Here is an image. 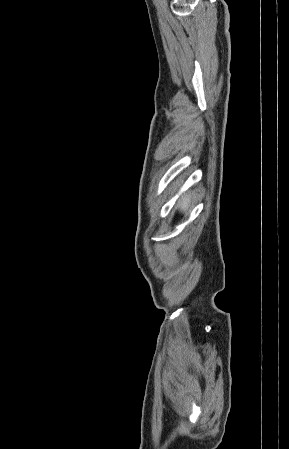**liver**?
Segmentation results:
<instances>
[{
    "label": "liver",
    "mask_w": 289,
    "mask_h": 449,
    "mask_svg": "<svg viewBox=\"0 0 289 449\" xmlns=\"http://www.w3.org/2000/svg\"><path fill=\"white\" fill-rule=\"evenodd\" d=\"M191 202V196L189 194H184L177 203V207L180 209V211H186L189 208Z\"/></svg>",
    "instance_id": "obj_1"
}]
</instances>
